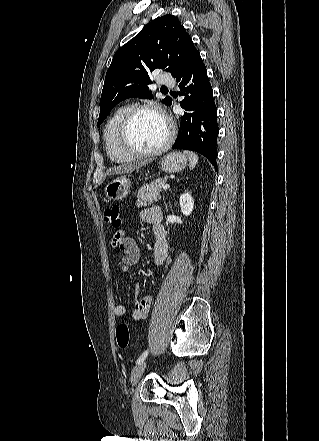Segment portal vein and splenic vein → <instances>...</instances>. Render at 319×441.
Here are the masks:
<instances>
[{"label": "portal vein and splenic vein", "instance_id": "obj_1", "mask_svg": "<svg viewBox=\"0 0 319 441\" xmlns=\"http://www.w3.org/2000/svg\"><path fill=\"white\" fill-rule=\"evenodd\" d=\"M170 188V185L169 184H165L164 186H163V189L164 190H167V189H169Z\"/></svg>", "mask_w": 319, "mask_h": 441}]
</instances>
